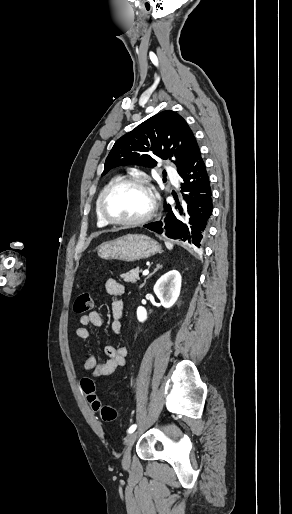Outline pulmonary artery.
<instances>
[{
	"instance_id": "pulmonary-artery-1",
	"label": "pulmonary artery",
	"mask_w": 292,
	"mask_h": 514,
	"mask_svg": "<svg viewBox=\"0 0 292 514\" xmlns=\"http://www.w3.org/2000/svg\"><path fill=\"white\" fill-rule=\"evenodd\" d=\"M161 168H162L163 170H166V169L168 168V165H167L166 163H163V164L161 165ZM173 180H174L175 182H176V180H177V175H176V173H175V172H173Z\"/></svg>"
}]
</instances>
